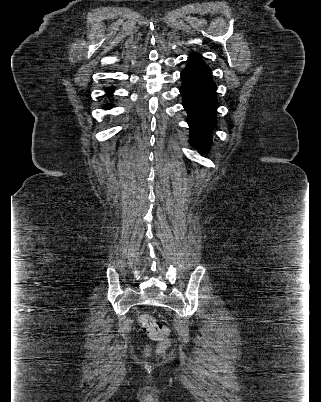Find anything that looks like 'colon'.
<instances>
[{"label":"colon","instance_id":"colon-1","mask_svg":"<svg viewBox=\"0 0 321 402\" xmlns=\"http://www.w3.org/2000/svg\"><path fill=\"white\" fill-rule=\"evenodd\" d=\"M140 326L152 339L161 341L156 349L158 355H162L167 346V329L151 314L144 313L139 318Z\"/></svg>","mask_w":321,"mask_h":402}]
</instances>
